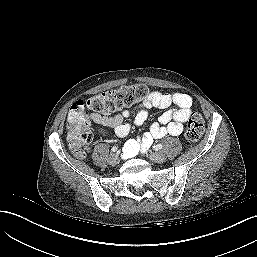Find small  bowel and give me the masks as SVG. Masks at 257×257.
<instances>
[{
  "instance_id": "small-bowel-1",
  "label": "small bowel",
  "mask_w": 257,
  "mask_h": 257,
  "mask_svg": "<svg viewBox=\"0 0 257 257\" xmlns=\"http://www.w3.org/2000/svg\"><path fill=\"white\" fill-rule=\"evenodd\" d=\"M175 105L174 108H169ZM158 107L167 109L158 120L152 122L144 136L137 140H130L124 146V155L132 156L139 149L150 147L154 139H160L167 135L177 136L183 131V124L192 112L193 101L190 96L183 93H162L151 91L141 105L138 106L135 116L136 125H143L148 118V109ZM130 116V111L123 110L114 116H105L91 113L88 119L100 127L102 134L113 131L117 136L124 137L130 131V126L125 120Z\"/></svg>"
}]
</instances>
